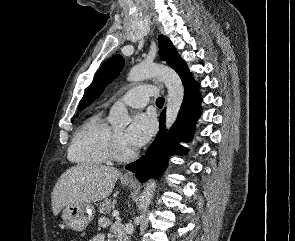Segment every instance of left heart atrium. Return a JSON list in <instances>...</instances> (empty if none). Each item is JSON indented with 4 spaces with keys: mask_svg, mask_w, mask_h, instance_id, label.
Masks as SVG:
<instances>
[{
    "mask_svg": "<svg viewBox=\"0 0 295 241\" xmlns=\"http://www.w3.org/2000/svg\"><path fill=\"white\" fill-rule=\"evenodd\" d=\"M155 121L149 114H137L124 134V141L131 149H138L151 138Z\"/></svg>",
    "mask_w": 295,
    "mask_h": 241,
    "instance_id": "39dd6f15",
    "label": "left heart atrium"
}]
</instances>
